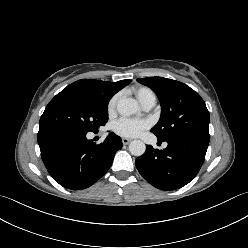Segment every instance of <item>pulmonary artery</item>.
Masks as SVG:
<instances>
[{
    "label": "pulmonary artery",
    "instance_id": "obj_1",
    "mask_svg": "<svg viewBox=\"0 0 248 248\" xmlns=\"http://www.w3.org/2000/svg\"><path fill=\"white\" fill-rule=\"evenodd\" d=\"M155 105V102L154 101H150V102H147L143 105L144 109L145 110H149L151 109L153 106Z\"/></svg>",
    "mask_w": 248,
    "mask_h": 248
}]
</instances>
